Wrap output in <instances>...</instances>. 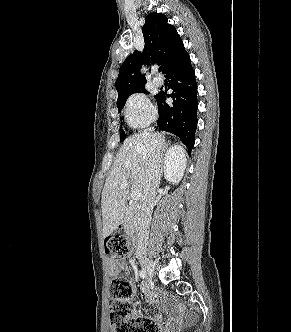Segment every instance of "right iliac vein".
<instances>
[{
	"instance_id": "right-iliac-vein-1",
	"label": "right iliac vein",
	"mask_w": 291,
	"mask_h": 332,
	"mask_svg": "<svg viewBox=\"0 0 291 332\" xmlns=\"http://www.w3.org/2000/svg\"><path fill=\"white\" fill-rule=\"evenodd\" d=\"M139 261H140V264H141L145 274L149 278H152L153 275H154V268H153V265H152L151 261L147 257H141L139 259Z\"/></svg>"
}]
</instances>
